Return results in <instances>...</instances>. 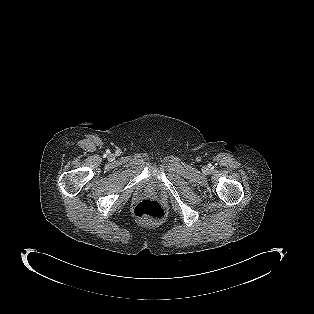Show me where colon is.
<instances>
[{
	"instance_id": "5ec220e1",
	"label": "colon",
	"mask_w": 314,
	"mask_h": 314,
	"mask_svg": "<svg viewBox=\"0 0 314 314\" xmlns=\"http://www.w3.org/2000/svg\"><path fill=\"white\" fill-rule=\"evenodd\" d=\"M134 214L139 219L158 221L164 217L165 212L158 201L154 199H144L135 206Z\"/></svg>"
}]
</instances>
